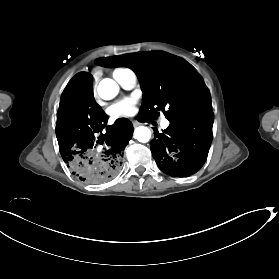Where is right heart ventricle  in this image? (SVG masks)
I'll return each mask as SVG.
<instances>
[{
	"mask_svg": "<svg viewBox=\"0 0 279 279\" xmlns=\"http://www.w3.org/2000/svg\"><path fill=\"white\" fill-rule=\"evenodd\" d=\"M118 73L119 75L121 76H124V75H127V73L129 72H132L131 70L129 69H126V68H118V69H115L113 73ZM115 78V80L118 82V84H120V81L119 79L116 77V76H113Z\"/></svg>",
	"mask_w": 279,
	"mask_h": 279,
	"instance_id": "1",
	"label": "right heart ventricle"
}]
</instances>
